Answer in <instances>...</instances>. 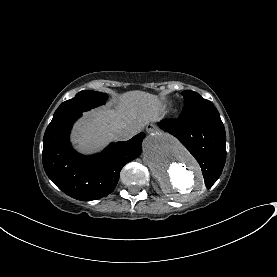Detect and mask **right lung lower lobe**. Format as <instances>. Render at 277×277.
<instances>
[{
	"label": "right lung lower lobe",
	"mask_w": 277,
	"mask_h": 277,
	"mask_svg": "<svg viewBox=\"0 0 277 277\" xmlns=\"http://www.w3.org/2000/svg\"><path fill=\"white\" fill-rule=\"evenodd\" d=\"M81 114L73 113L49 124L43 138L42 159L46 174L64 193L89 201L113 192L122 167L140 155L145 134L111 143L100 154L82 156L69 142L72 125Z\"/></svg>",
	"instance_id": "obj_1"
}]
</instances>
